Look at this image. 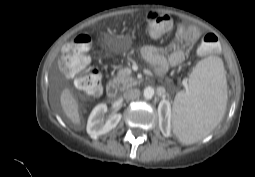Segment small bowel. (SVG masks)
I'll use <instances>...</instances> for the list:
<instances>
[{"label":"small bowel","mask_w":255,"mask_h":177,"mask_svg":"<svg viewBox=\"0 0 255 177\" xmlns=\"http://www.w3.org/2000/svg\"><path fill=\"white\" fill-rule=\"evenodd\" d=\"M201 38V31L196 27H177L173 40L167 45L166 49L147 45L141 50L142 56L150 63L157 66L159 72L163 73L168 66L177 67L185 59L186 53L179 48L180 43L194 44ZM165 51H169V56H165Z\"/></svg>","instance_id":"obj_1"}]
</instances>
